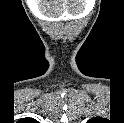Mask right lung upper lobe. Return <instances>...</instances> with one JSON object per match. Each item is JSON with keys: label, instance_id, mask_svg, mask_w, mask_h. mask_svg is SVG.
<instances>
[{"label": "right lung upper lobe", "instance_id": "cb5924a9", "mask_svg": "<svg viewBox=\"0 0 124 123\" xmlns=\"http://www.w3.org/2000/svg\"><path fill=\"white\" fill-rule=\"evenodd\" d=\"M25 121H34V119L26 118Z\"/></svg>", "mask_w": 124, "mask_h": 123}]
</instances>
